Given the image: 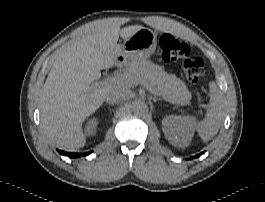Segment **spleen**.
<instances>
[{"instance_id":"3e777b00","label":"spleen","mask_w":265,"mask_h":202,"mask_svg":"<svg viewBox=\"0 0 265 202\" xmlns=\"http://www.w3.org/2000/svg\"><path fill=\"white\" fill-rule=\"evenodd\" d=\"M210 106L205 119L195 123V129L204 142L211 140L219 131L223 122V97L214 82L210 83Z\"/></svg>"}]
</instances>
